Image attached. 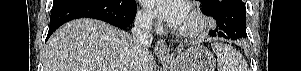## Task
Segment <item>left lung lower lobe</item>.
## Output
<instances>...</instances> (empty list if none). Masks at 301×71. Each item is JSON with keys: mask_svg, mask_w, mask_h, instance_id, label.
I'll use <instances>...</instances> for the list:
<instances>
[{"mask_svg": "<svg viewBox=\"0 0 301 71\" xmlns=\"http://www.w3.org/2000/svg\"><path fill=\"white\" fill-rule=\"evenodd\" d=\"M205 14L216 20V29L210 34L214 37L226 39L246 38V8L242 0H218Z\"/></svg>", "mask_w": 301, "mask_h": 71, "instance_id": "0a47b994", "label": "left lung lower lobe"}]
</instances>
